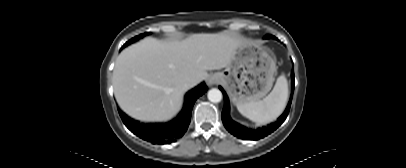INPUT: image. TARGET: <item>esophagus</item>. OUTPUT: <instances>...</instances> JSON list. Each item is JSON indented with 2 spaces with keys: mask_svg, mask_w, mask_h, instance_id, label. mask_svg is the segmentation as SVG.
Listing matches in <instances>:
<instances>
[{
  "mask_svg": "<svg viewBox=\"0 0 406 168\" xmlns=\"http://www.w3.org/2000/svg\"><path fill=\"white\" fill-rule=\"evenodd\" d=\"M208 85L212 86L218 83V79L215 76H210L207 80Z\"/></svg>",
  "mask_w": 406,
  "mask_h": 168,
  "instance_id": "obj_1",
  "label": "esophagus"
}]
</instances>
